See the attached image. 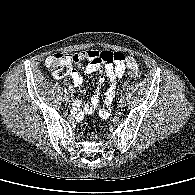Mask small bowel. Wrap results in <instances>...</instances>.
I'll return each mask as SVG.
<instances>
[{
  "label": "small bowel",
  "mask_w": 195,
  "mask_h": 195,
  "mask_svg": "<svg viewBox=\"0 0 195 195\" xmlns=\"http://www.w3.org/2000/svg\"><path fill=\"white\" fill-rule=\"evenodd\" d=\"M71 57L72 64L75 69L72 70L70 76L73 81V87H79L83 83L81 73L92 74L100 73L98 86L91 97L88 104H82L76 101L78 117L83 114H91L96 112L100 117L107 118L111 113V104L116 95L118 80L124 75L126 69L138 68L136 60L131 56H125L120 52L99 51V50H83L76 54H68ZM84 61H88L85 65ZM107 83V89L104 93V107L98 108L100 87Z\"/></svg>",
  "instance_id": "obj_1"
}]
</instances>
